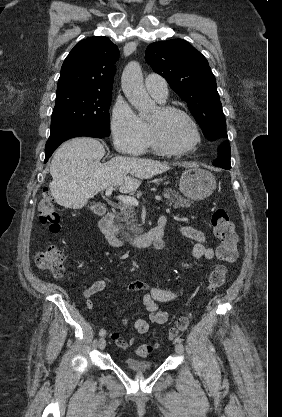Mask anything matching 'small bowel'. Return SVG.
<instances>
[{
  "label": "small bowel",
  "mask_w": 282,
  "mask_h": 417,
  "mask_svg": "<svg viewBox=\"0 0 282 417\" xmlns=\"http://www.w3.org/2000/svg\"><path fill=\"white\" fill-rule=\"evenodd\" d=\"M167 224L165 216H160L157 226H161L164 232V228ZM178 233L187 239L195 242L192 250L193 257L195 259H212L215 256L214 250L207 244L206 234L193 226L180 225L177 228ZM163 243V239L161 240ZM220 255V253H219ZM108 286V281L105 279H98L92 285L84 289L83 297L86 299V307L92 310L94 307L93 296L104 291ZM127 292H143V304L149 313L147 320L137 319L135 321V329L138 334H147L150 325H165L169 321V313L159 308L160 303H171L181 299V292L164 287L151 286L147 282L142 280H134L127 283L124 287ZM184 318V317H182ZM123 324L127 323L125 318H122ZM110 338L115 345L122 349H127L136 342V336L125 338L123 332H112Z\"/></svg>",
  "instance_id": "c3829d8e"
}]
</instances>
